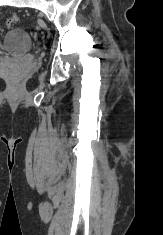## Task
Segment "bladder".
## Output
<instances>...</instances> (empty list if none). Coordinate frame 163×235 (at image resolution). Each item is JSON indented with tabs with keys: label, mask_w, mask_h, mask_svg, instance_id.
Instances as JSON below:
<instances>
[{
	"label": "bladder",
	"mask_w": 163,
	"mask_h": 235,
	"mask_svg": "<svg viewBox=\"0 0 163 235\" xmlns=\"http://www.w3.org/2000/svg\"><path fill=\"white\" fill-rule=\"evenodd\" d=\"M33 46L29 33L21 28L7 30L0 39V50L14 55H23Z\"/></svg>",
	"instance_id": "bladder-1"
}]
</instances>
